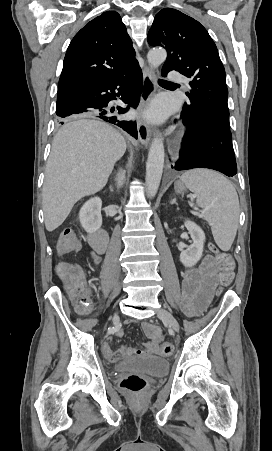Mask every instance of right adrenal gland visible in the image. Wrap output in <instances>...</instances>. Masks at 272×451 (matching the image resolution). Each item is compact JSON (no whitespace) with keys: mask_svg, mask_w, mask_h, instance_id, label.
<instances>
[{"mask_svg":"<svg viewBox=\"0 0 272 451\" xmlns=\"http://www.w3.org/2000/svg\"><path fill=\"white\" fill-rule=\"evenodd\" d=\"M109 188H110V192H114L112 186H109Z\"/></svg>","mask_w":272,"mask_h":451,"instance_id":"2a0ac1e0","label":"right adrenal gland"}]
</instances>
